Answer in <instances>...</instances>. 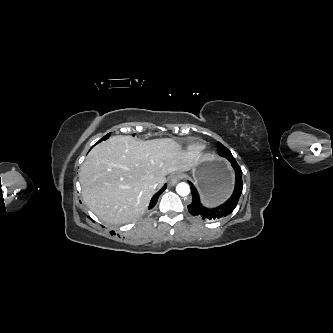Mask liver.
Listing matches in <instances>:
<instances>
[{
    "instance_id": "1",
    "label": "liver",
    "mask_w": 333,
    "mask_h": 333,
    "mask_svg": "<svg viewBox=\"0 0 333 333\" xmlns=\"http://www.w3.org/2000/svg\"><path fill=\"white\" fill-rule=\"evenodd\" d=\"M196 152L184 151L170 138L138 141L113 136L96 145L79 170L82 196L104 222L123 224L140 217L165 176L189 171L200 162Z\"/></svg>"
}]
</instances>
